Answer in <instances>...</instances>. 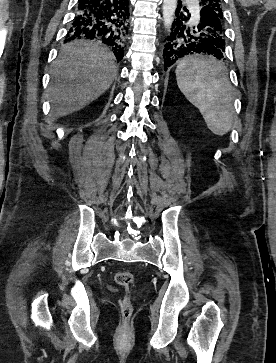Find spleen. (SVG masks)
I'll return each mask as SVG.
<instances>
[{"label": "spleen", "mask_w": 276, "mask_h": 363, "mask_svg": "<svg viewBox=\"0 0 276 363\" xmlns=\"http://www.w3.org/2000/svg\"><path fill=\"white\" fill-rule=\"evenodd\" d=\"M175 73L179 89L199 109L208 129L218 136L230 131L234 107L224 65L212 56L194 55L179 61Z\"/></svg>", "instance_id": "1"}]
</instances>
